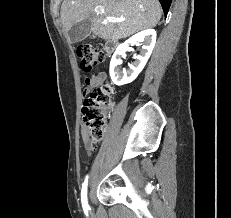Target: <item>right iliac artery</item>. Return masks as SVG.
Wrapping results in <instances>:
<instances>
[{
  "label": "right iliac artery",
  "instance_id": "1",
  "mask_svg": "<svg viewBox=\"0 0 231 218\" xmlns=\"http://www.w3.org/2000/svg\"><path fill=\"white\" fill-rule=\"evenodd\" d=\"M87 182H88V176H86V179L83 183L82 190H81V201L84 211L87 213L89 210V205L87 202Z\"/></svg>",
  "mask_w": 231,
  "mask_h": 218
}]
</instances>
